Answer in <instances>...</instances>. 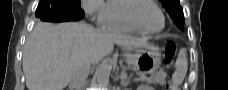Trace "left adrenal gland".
<instances>
[{
    "mask_svg": "<svg viewBox=\"0 0 228 90\" xmlns=\"http://www.w3.org/2000/svg\"><path fill=\"white\" fill-rule=\"evenodd\" d=\"M128 82H129V79H127V78H122L121 79V85L122 86H127L128 85Z\"/></svg>",
    "mask_w": 228,
    "mask_h": 90,
    "instance_id": "a2214340",
    "label": "left adrenal gland"
}]
</instances>
